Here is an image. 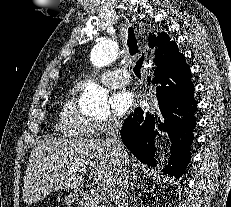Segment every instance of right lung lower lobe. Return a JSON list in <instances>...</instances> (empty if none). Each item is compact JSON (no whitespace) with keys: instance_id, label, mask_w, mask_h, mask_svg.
<instances>
[{"instance_id":"right-lung-lower-lobe-1","label":"right lung lower lobe","mask_w":231,"mask_h":207,"mask_svg":"<svg viewBox=\"0 0 231 207\" xmlns=\"http://www.w3.org/2000/svg\"><path fill=\"white\" fill-rule=\"evenodd\" d=\"M154 62V78L150 80L155 91L152 105L136 108L130 114L122 127L121 138L142 163L155 166L153 139L158 130L166 132L170 140V157L163 171L179 178L190 162L196 125L197 104L191 70L184 56L168 60L157 57Z\"/></svg>"}]
</instances>
